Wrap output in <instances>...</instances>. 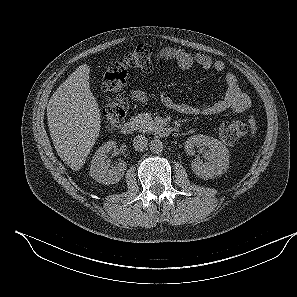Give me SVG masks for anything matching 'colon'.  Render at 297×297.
<instances>
[{
	"label": "colon",
	"mask_w": 297,
	"mask_h": 297,
	"mask_svg": "<svg viewBox=\"0 0 297 297\" xmlns=\"http://www.w3.org/2000/svg\"><path fill=\"white\" fill-rule=\"evenodd\" d=\"M152 65V52L142 46L126 53L120 60L113 62L105 71L102 86L109 94V103L104 109V120L108 129L119 127L126 117L124 89L127 83L128 70H148ZM250 128L247 120H232L223 123L219 129L221 139L228 144L238 142Z\"/></svg>",
	"instance_id": "obj_1"
}]
</instances>
